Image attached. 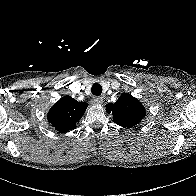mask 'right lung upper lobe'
<instances>
[{"label": "right lung upper lobe", "mask_w": 196, "mask_h": 196, "mask_svg": "<svg viewBox=\"0 0 196 196\" xmlns=\"http://www.w3.org/2000/svg\"><path fill=\"white\" fill-rule=\"evenodd\" d=\"M87 106L85 102L64 96L49 110L47 119L60 133L68 132L76 128V123L83 116Z\"/></svg>", "instance_id": "obj_1"}]
</instances>
